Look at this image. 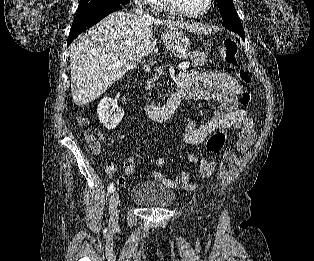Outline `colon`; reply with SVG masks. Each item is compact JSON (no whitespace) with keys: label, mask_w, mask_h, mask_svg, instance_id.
I'll use <instances>...</instances> for the list:
<instances>
[{"label":"colon","mask_w":314,"mask_h":261,"mask_svg":"<svg viewBox=\"0 0 314 261\" xmlns=\"http://www.w3.org/2000/svg\"><path fill=\"white\" fill-rule=\"evenodd\" d=\"M220 55L223 60L233 68H237V77L244 84H249L251 77L249 73L238 67V43L234 39H226L220 49ZM252 102V95L249 91L243 92L239 96V103L243 106H248ZM87 140L94 148H99L101 145V137L99 135L88 133ZM227 138V128H222L214 132L206 141V152L208 154H216L221 151Z\"/></svg>","instance_id":"1"}]
</instances>
